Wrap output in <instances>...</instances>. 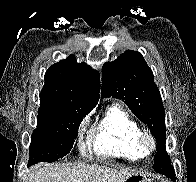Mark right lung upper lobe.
Listing matches in <instances>:
<instances>
[{
    "label": "right lung upper lobe",
    "instance_id": "1",
    "mask_svg": "<svg viewBox=\"0 0 196 182\" xmlns=\"http://www.w3.org/2000/svg\"><path fill=\"white\" fill-rule=\"evenodd\" d=\"M99 92L98 71L77 63L70 55L47 70L39 111L68 110L86 115L97 105Z\"/></svg>",
    "mask_w": 196,
    "mask_h": 182
}]
</instances>
